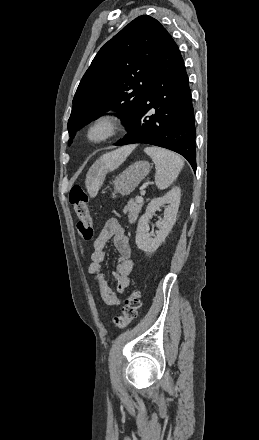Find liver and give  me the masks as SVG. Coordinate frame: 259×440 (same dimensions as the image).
<instances>
[{"label":"liver","instance_id":"liver-1","mask_svg":"<svg viewBox=\"0 0 259 440\" xmlns=\"http://www.w3.org/2000/svg\"><path fill=\"white\" fill-rule=\"evenodd\" d=\"M134 148L135 146H125L102 155L90 170V172H92L93 188L87 187L88 190L97 192L104 181L106 173L117 169L126 160Z\"/></svg>","mask_w":259,"mask_h":440}]
</instances>
